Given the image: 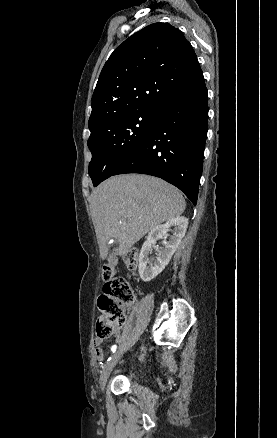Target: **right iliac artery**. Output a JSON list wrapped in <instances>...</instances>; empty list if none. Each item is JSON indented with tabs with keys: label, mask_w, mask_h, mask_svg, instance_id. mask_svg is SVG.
<instances>
[{
	"label": "right iliac artery",
	"mask_w": 277,
	"mask_h": 438,
	"mask_svg": "<svg viewBox=\"0 0 277 438\" xmlns=\"http://www.w3.org/2000/svg\"><path fill=\"white\" fill-rule=\"evenodd\" d=\"M116 349H117V345H113V346L111 347V351H112V352H115Z\"/></svg>",
	"instance_id": "obj_1"
}]
</instances>
